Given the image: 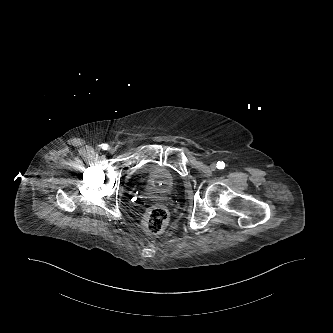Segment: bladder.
Masks as SVG:
<instances>
[{"label": "bladder", "instance_id": "1", "mask_svg": "<svg viewBox=\"0 0 333 333\" xmlns=\"http://www.w3.org/2000/svg\"><path fill=\"white\" fill-rule=\"evenodd\" d=\"M146 177L147 187L159 195H168L176 189V176L162 165H152L141 172Z\"/></svg>", "mask_w": 333, "mask_h": 333}]
</instances>
